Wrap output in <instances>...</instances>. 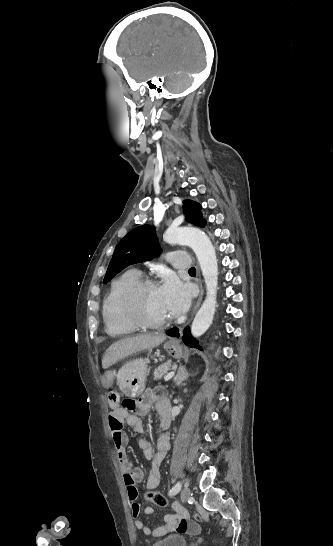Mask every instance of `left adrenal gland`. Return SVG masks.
Segmentation results:
<instances>
[{
  "mask_svg": "<svg viewBox=\"0 0 333 546\" xmlns=\"http://www.w3.org/2000/svg\"><path fill=\"white\" fill-rule=\"evenodd\" d=\"M189 374L184 366L180 367L177 375L174 377L176 385L180 386L184 380L188 378Z\"/></svg>",
  "mask_w": 333,
  "mask_h": 546,
  "instance_id": "left-adrenal-gland-1",
  "label": "left adrenal gland"
}]
</instances>
